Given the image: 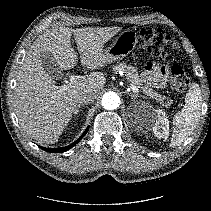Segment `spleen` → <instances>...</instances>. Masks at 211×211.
<instances>
[{"label":"spleen","instance_id":"spleen-1","mask_svg":"<svg viewBox=\"0 0 211 211\" xmlns=\"http://www.w3.org/2000/svg\"><path fill=\"white\" fill-rule=\"evenodd\" d=\"M202 99L199 85L193 83L186 94L183 109L173 117L170 147L179 146L193 133L199 120Z\"/></svg>","mask_w":211,"mask_h":211}]
</instances>
